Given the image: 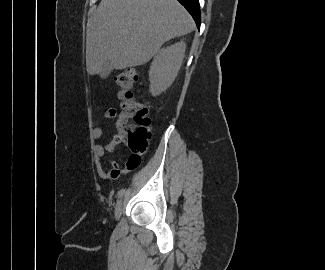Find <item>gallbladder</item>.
Wrapping results in <instances>:
<instances>
[{"label": "gallbladder", "mask_w": 325, "mask_h": 270, "mask_svg": "<svg viewBox=\"0 0 325 270\" xmlns=\"http://www.w3.org/2000/svg\"><path fill=\"white\" fill-rule=\"evenodd\" d=\"M111 68H110V65L109 64H107L106 65V67H105V69H104V71L102 72V74L104 75V76H107L110 72H111Z\"/></svg>", "instance_id": "gallbladder-1"}]
</instances>
